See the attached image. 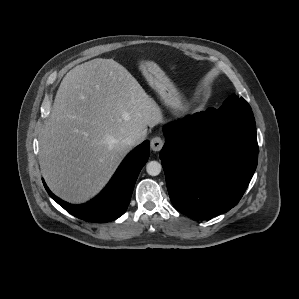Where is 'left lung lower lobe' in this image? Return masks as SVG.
<instances>
[{
  "mask_svg": "<svg viewBox=\"0 0 299 299\" xmlns=\"http://www.w3.org/2000/svg\"><path fill=\"white\" fill-rule=\"evenodd\" d=\"M210 109L165 125L160 152L172 204L195 219L237 205L258 160L254 116L221 117Z\"/></svg>",
  "mask_w": 299,
  "mask_h": 299,
  "instance_id": "1",
  "label": "left lung lower lobe"
}]
</instances>
